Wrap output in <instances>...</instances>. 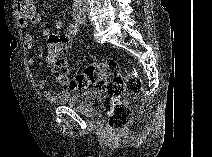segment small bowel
<instances>
[{
	"label": "small bowel",
	"instance_id": "obj_1",
	"mask_svg": "<svg viewBox=\"0 0 212 157\" xmlns=\"http://www.w3.org/2000/svg\"><path fill=\"white\" fill-rule=\"evenodd\" d=\"M41 21V16L36 10L35 4L32 1H23L18 3L17 9V22L20 28L27 29L29 25H37ZM64 26V22L62 19H57L55 21V28L57 30H61ZM43 35L48 37L51 34V29L45 28L43 29ZM25 42L29 49H31L34 45V39L31 34H25ZM35 60L33 58L28 59V64L33 65ZM36 87L39 90L43 91L44 98L51 104H59L63 103L68 98V93L66 91H61L57 94L51 92L46 88V81L44 79L39 80L36 83Z\"/></svg>",
	"mask_w": 212,
	"mask_h": 157
}]
</instances>
